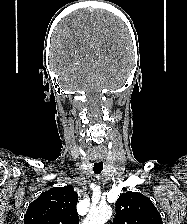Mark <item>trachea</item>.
I'll use <instances>...</instances> for the list:
<instances>
[{
	"label": "trachea",
	"mask_w": 187,
	"mask_h": 224,
	"mask_svg": "<svg viewBox=\"0 0 187 224\" xmlns=\"http://www.w3.org/2000/svg\"><path fill=\"white\" fill-rule=\"evenodd\" d=\"M94 173L95 174H100L103 170V163L102 162H96L94 163Z\"/></svg>",
	"instance_id": "obj_1"
}]
</instances>
